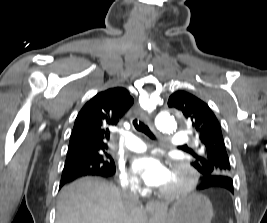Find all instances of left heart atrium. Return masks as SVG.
<instances>
[{"mask_svg": "<svg viewBox=\"0 0 267 223\" xmlns=\"http://www.w3.org/2000/svg\"><path fill=\"white\" fill-rule=\"evenodd\" d=\"M132 171L147 186L163 188L171 178V172L155 155H142L133 159Z\"/></svg>", "mask_w": 267, "mask_h": 223, "instance_id": "1", "label": "left heart atrium"}]
</instances>
